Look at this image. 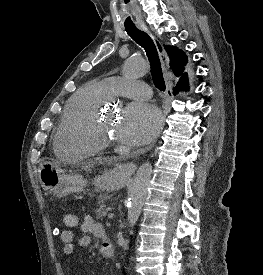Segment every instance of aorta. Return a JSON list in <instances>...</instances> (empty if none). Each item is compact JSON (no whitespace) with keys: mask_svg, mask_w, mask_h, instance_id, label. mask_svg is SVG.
Here are the masks:
<instances>
[{"mask_svg":"<svg viewBox=\"0 0 263 275\" xmlns=\"http://www.w3.org/2000/svg\"><path fill=\"white\" fill-rule=\"evenodd\" d=\"M148 71L146 62L138 57L128 58L123 65V74L126 77L137 78L143 76ZM152 175V165L149 162L142 164L134 177L128 202V221L133 233V227L136 224L147 196V191Z\"/></svg>","mask_w":263,"mask_h":275,"instance_id":"1","label":"aorta"}]
</instances>
